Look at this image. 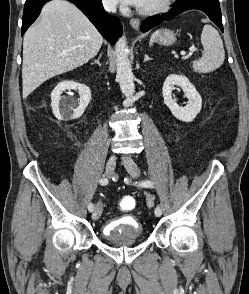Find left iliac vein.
<instances>
[{"label": "left iliac vein", "instance_id": "left-iliac-vein-1", "mask_svg": "<svg viewBox=\"0 0 249 294\" xmlns=\"http://www.w3.org/2000/svg\"><path fill=\"white\" fill-rule=\"evenodd\" d=\"M122 160L128 173L133 178H137L140 174L138 165L130 157H124ZM146 201H147L148 207L152 208L154 205V198L151 194H147Z\"/></svg>", "mask_w": 249, "mask_h": 294}]
</instances>
